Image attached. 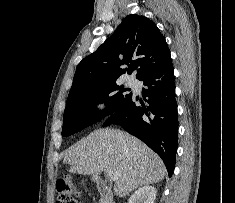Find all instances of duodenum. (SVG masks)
I'll use <instances>...</instances> for the list:
<instances>
[{"label":"duodenum","mask_w":235,"mask_h":203,"mask_svg":"<svg viewBox=\"0 0 235 203\" xmlns=\"http://www.w3.org/2000/svg\"><path fill=\"white\" fill-rule=\"evenodd\" d=\"M95 187L100 194L103 203H114V196L111 188L108 184L100 177L94 178Z\"/></svg>","instance_id":"duodenum-1"}]
</instances>
